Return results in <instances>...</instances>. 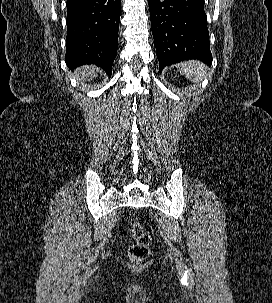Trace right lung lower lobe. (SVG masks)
Masks as SVG:
<instances>
[{
  "mask_svg": "<svg viewBox=\"0 0 272 303\" xmlns=\"http://www.w3.org/2000/svg\"><path fill=\"white\" fill-rule=\"evenodd\" d=\"M121 0L67 1L66 64H95L112 74L117 53Z\"/></svg>",
  "mask_w": 272,
  "mask_h": 303,
  "instance_id": "obj_1",
  "label": "right lung lower lobe"
}]
</instances>
